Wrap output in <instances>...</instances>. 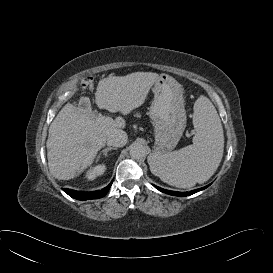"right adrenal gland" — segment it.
Masks as SVG:
<instances>
[{
    "mask_svg": "<svg viewBox=\"0 0 273 273\" xmlns=\"http://www.w3.org/2000/svg\"><path fill=\"white\" fill-rule=\"evenodd\" d=\"M117 148L115 147H108V148H105L104 150L101 151V153L98 155L97 157V162L99 161L100 157H101V154H103L105 157L107 156V153L110 151V150H116Z\"/></svg>",
    "mask_w": 273,
    "mask_h": 273,
    "instance_id": "2a0ac1e0",
    "label": "right adrenal gland"
}]
</instances>
